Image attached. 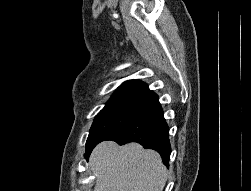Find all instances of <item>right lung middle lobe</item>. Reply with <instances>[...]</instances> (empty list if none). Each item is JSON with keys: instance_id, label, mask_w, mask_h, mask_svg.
<instances>
[{"instance_id": "obj_1", "label": "right lung middle lobe", "mask_w": 251, "mask_h": 191, "mask_svg": "<svg viewBox=\"0 0 251 191\" xmlns=\"http://www.w3.org/2000/svg\"><path fill=\"white\" fill-rule=\"evenodd\" d=\"M143 110L122 107L105 106L95 117L86 142L85 157L88 159L93 148L100 142L109 139L131 122Z\"/></svg>"}]
</instances>
